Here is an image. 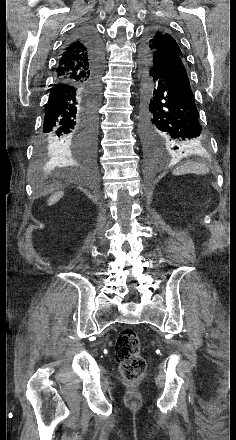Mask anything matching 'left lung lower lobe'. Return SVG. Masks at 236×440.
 <instances>
[{
	"label": "left lung lower lobe",
	"mask_w": 236,
	"mask_h": 440,
	"mask_svg": "<svg viewBox=\"0 0 236 440\" xmlns=\"http://www.w3.org/2000/svg\"><path fill=\"white\" fill-rule=\"evenodd\" d=\"M143 62L147 93L141 131L147 152L155 156L166 149L179 151L204 144L207 136L199 120L184 59L171 56L155 64Z\"/></svg>",
	"instance_id": "0a47b994"
}]
</instances>
